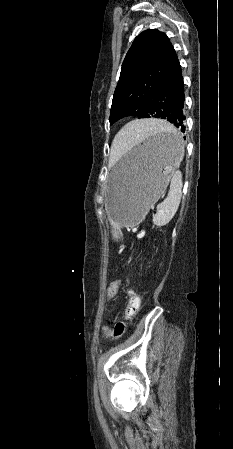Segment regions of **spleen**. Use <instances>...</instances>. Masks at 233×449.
<instances>
[{"label":"spleen","mask_w":233,"mask_h":449,"mask_svg":"<svg viewBox=\"0 0 233 449\" xmlns=\"http://www.w3.org/2000/svg\"><path fill=\"white\" fill-rule=\"evenodd\" d=\"M155 133H176L183 154L184 145L181 136L173 128H169V125H143L142 131H137V134H130V138L117 148L116 156L119 157L128 152L139 140L142 142H151ZM182 186V175L177 170L172 175L167 197L157 206V213L152 219L154 225L164 226L174 217L181 201Z\"/></svg>","instance_id":"3e777b00"}]
</instances>
